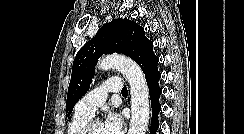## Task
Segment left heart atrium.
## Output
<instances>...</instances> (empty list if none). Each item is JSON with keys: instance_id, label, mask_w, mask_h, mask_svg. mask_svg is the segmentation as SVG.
<instances>
[{"instance_id": "39dd6f15", "label": "left heart atrium", "mask_w": 244, "mask_h": 134, "mask_svg": "<svg viewBox=\"0 0 244 134\" xmlns=\"http://www.w3.org/2000/svg\"><path fill=\"white\" fill-rule=\"evenodd\" d=\"M103 129L105 134H122L123 133V121L119 114L110 112L106 116Z\"/></svg>"}]
</instances>
